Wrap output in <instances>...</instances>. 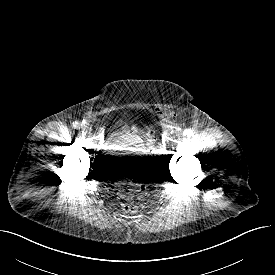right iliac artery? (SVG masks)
<instances>
[{
    "instance_id": "right-iliac-artery-1",
    "label": "right iliac artery",
    "mask_w": 275,
    "mask_h": 275,
    "mask_svg": "<svg viewBox=\"0 0 275 275\" xmlns=\"http://www.w3.org/2000/svg\"><path fill=\"white\" fill-rule=\"evenodd\" d=\"M73 126H74V128H79L80 129V127L82 126V124L81 123H79V122H75L74 124H73Z\"/></svg>"
}]
</instances>
